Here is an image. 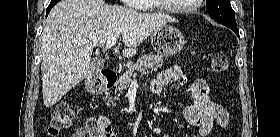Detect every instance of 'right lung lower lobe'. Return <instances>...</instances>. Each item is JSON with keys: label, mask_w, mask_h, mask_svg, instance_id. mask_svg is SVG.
<instances>
[{"label": "right lung lower lobe", "mask_w": 280, "mask_h": 137, "mask_svg": "<svg viewBox=\"0 0 280 137\" xmlns=\"http://www.w3.org/2000/svg\"><path fill=\"white\" fill-rule=\"evenodd\" d=\"M60 0H51L49 6L47 7V10H46V16L48 15V13L50 12V10L52 9V7L58 3Z\"/></svg>", "instance_id": "obj_1"}]
</instances>
